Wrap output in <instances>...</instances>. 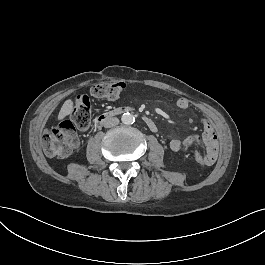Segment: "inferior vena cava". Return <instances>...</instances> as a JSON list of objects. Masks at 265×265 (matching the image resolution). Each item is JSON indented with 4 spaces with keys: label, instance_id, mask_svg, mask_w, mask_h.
Returning <instances> with one entry per match:
<instances>
[{
    "label": "inferior vena cava",
    "instance_id": "1",
    "mask_svg": "<svg viewBox=\"0 0 265 265\" xmlns=\"http://www.w3.org/2000/svg\"><path fill=\"white\" fill-rule=\"evenodd\" d=\"M119 124V119L116 117H108L104 120V127L111 128Z\"/></svg>",
    "mask_w": 265,
    "mask_h": 265
}]
</instances>
